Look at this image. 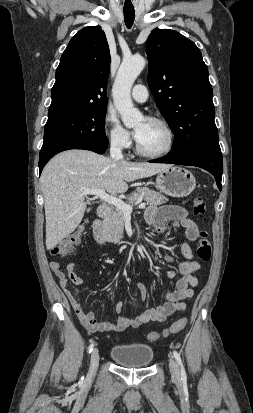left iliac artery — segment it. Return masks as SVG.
<instances>
[{
	"mask_svg": "<svg viewBox=\"0 0 253 413\" xmlns=\"http://www.w3.org/2000/svg\"><path fill=\"white\" fill-rule=\"evenodd\" d=\"M173 354H174V358L176 359V361H177V363H178V365H179V367H180L181 380L186 381V372H185V369H184V366H183V363H182L180 354H179L177 351H174Z\"/></svg>",
	"mask_w": 253,
	"mask_h": 413,
	"instance_id": "44dca946",
	"label": "left iliac artery"
}]
</instances>
